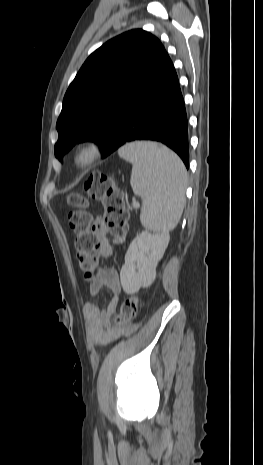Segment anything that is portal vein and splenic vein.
<instances>
[{
	"mask_svg": "<svg viewBox=\"0 0 263 465\" xmlns=\"http://www.w3.org/2000/svg\"><path fill=\"white\" fill-rule=\"evenodd\" d=\"M139 206H140V204H139L138 202H136V201L133 202V207H136V208H137V207H139Z\"/></svg>",
	"mask_w": 263,
	"mask_h": 465,
	"instance_id": "portal-vein-and-splenic-vein-1",
	"label": "portal vein and splenic vein"
}]
</instances>
